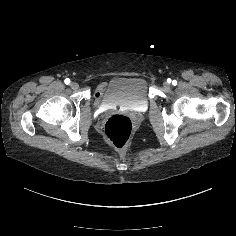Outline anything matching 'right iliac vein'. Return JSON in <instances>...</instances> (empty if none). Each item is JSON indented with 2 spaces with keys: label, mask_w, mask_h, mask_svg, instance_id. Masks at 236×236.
Segmentation results:
<instances>
[{
  "label": "right iliac vein",
  "mask_w": 236,
  "mask_h": 236,
  "mask_svg": "<svg viewBox=\"0 0 236 236\" xmlns=\"http://www.w3.org/2000/svg\"><path fill=\"white\" fill-rule=\"evenodd\" d=\"M70 87H71L73 90H77L78 87H79V85H78V83H76V82H72V83L70 84Z\"/></svg>",
  "instance_id": "1"
}]
</instances>
